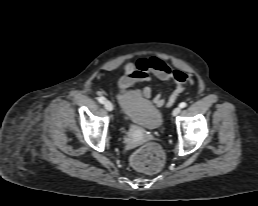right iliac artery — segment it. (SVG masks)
<instances>
[{
	"label": "right iliac artery",
	"mask_w": 258,
	"mask_h": 206,
	"mask_svg": "<svg viewBox=\"0 0 258 206\" xmlns=\"http://www.w3.org/2000/svg\"><path fill=\"white\" fill-rule=\"evenodd\" d=\"M98 100H99V102H100L101 104H103V103L105 102V98H104V97H100Z\"/></svg>",
	"instance_id": "82829eb1"
}]
</instances>
